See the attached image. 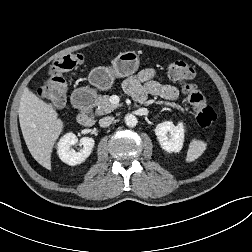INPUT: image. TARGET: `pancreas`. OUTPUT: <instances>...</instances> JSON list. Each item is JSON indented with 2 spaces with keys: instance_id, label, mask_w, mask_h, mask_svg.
Segmentation results:
<instances>
[{
  "instance_id": "obj_1",
  "label": "pancreas",
  "mask_w": 252,
  "mask_h": 252,
  "mask_svg": "<svg viewBox=\"0 0 252 252\" xmlns=\"http://www.w3.org/2000/svg\"><path fill=\"white\" fill-rule=\"evenodd\" d=\"M157 103L164 104L166 106H171L173 108H177L183 111L182 108L175 103L166 102V101H158ZM96 105H97V109L95 111V114L98 116L108 114L118 107V105L112 104L110 102L109 95L97 96Z\"/></svg>"
}]
</instances>
